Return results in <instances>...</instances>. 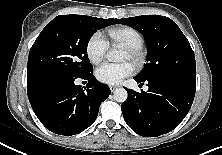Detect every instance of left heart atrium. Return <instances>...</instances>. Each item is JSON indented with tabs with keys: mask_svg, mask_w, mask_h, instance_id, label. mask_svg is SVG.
Instances as JSON below:
<instances>
[{
	"mask_svg": "<svg viewBox=\"0 0 222 155\" xmlns=\"http://www.w3.org/2000/svg\"><path fill=\"white\" fill-rule=\"evenodd\" d=\"M134 72V67L129 62L104 63L95 72L97 79L105 84L114 85L120 83L124 78Z\"/></svg>",
	"mask_w": 222,
	"mask_h": 155,
	"instance_id": "1",
	"label": "left heart atrium"
}]
</instances>
